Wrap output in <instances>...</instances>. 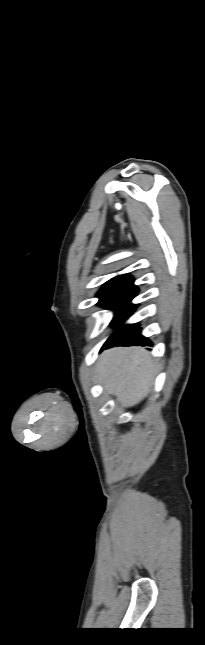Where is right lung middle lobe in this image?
<instances>
[{"label":"right lung middle lobe","instance_id":"1","mask_svg":"<svg viewBox=\"0 0 205 645\" xmlns=\"http://www.w3.org/2000/svg\"><path fill=\"white\" fill-rule=\"evenodd\" d=\"M136 293L137 291L117 293L98 303L100 306L114 309L115 317L113 318L111 324H122L129 317V315L132 314L137 305L130 304V301L135 297ZM119 330L120 329H118L116 332H118Z\"/></svg>","mask_w":205,"mask_h":645}]
</instances>
